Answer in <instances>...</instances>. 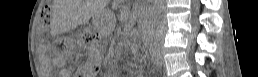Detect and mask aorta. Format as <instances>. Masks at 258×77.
I'll return each mask as SVG.
<instances>
[{
  "instance_id": "aorta-1",
  "label": "aorta",
  "mask_w": 258,
  "mask_h": 77,
  "mask_svg": "<svg viewBox=\"0 0 258 77\" xmlns=\"http://www.w3.org/2000/svg\"><path fill=\"white\" fill-rule=\"evenodd\" d=\"M163 7H164V0H154L153 5L149 11V17L151 19L157 18L161 14Z\"/></svg>"
}]
</instances>
